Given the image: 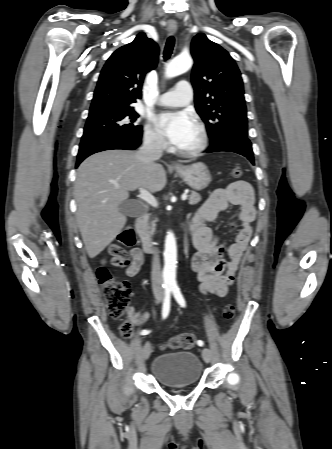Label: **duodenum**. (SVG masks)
Segmentation results:
<instances>
[{"label": "duodenum", "mask_w": 332, "mask_h": 449, "mask_svg": "<svg viewBox=\"0 0 332 449\" xmlns=\"http://www.w3.org/2000/svg\"><path fill=\"white\" fill-rule=\"evenodd\" d=\"M147 220H148L147 212H144L143 214L139 215L135 219V229L140 235L143 250L146 252H152L154 251V241L146 229ZM187 228L190 230L189 222L187 223Z\"/></svg>", "instance_id": "obj_1"}]
</instances>
